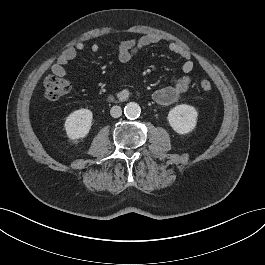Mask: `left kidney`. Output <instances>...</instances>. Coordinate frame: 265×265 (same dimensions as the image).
Returning <instances> with one entry per match:
<instances>
[{
  "instance_id": "left-kidney-1",
  "label": "left kidney",
  "mask_w": 265,
  "mask_h": 265,
  "mask_svg": "<svg viewBox=\"0 0 265 265\" xmlns=\"http://www.w3.org/2000/svg\"><path fill=\"white\" fill-rule=\"evenodd\" d=\"M198 112L190 105L181 104L172 108L168 113V122L178 134L190 133L197 124Z\"/></svg>"
}]
</instances>
